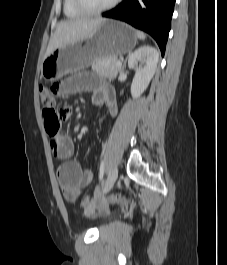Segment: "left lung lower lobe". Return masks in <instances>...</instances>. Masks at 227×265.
I'll return each instance as SVG.
<instances>
[{"label": "left lung lower lobe", "instance_id": "obj_1", "mask_svg": "<svg viewBox=\"0 0 227 265\" xmlns=\"http://www.w3.org/2000/svg\"><path fill=\"white\" fill-rule=\"evenodd\" d=\"M174 4L175 0H124L102 16L125 21L149 33L164 55Z\"/></svg>", "mask_w": 227, "mask_h": 265}]
</instances>
